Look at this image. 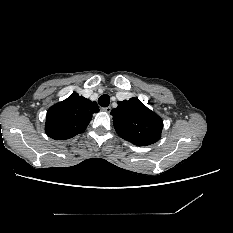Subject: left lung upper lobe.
I'll list each match as a JSON object with an SVG mask.
<instances>
[{
    "label": "left lung upper lobe",
    "mask_w": 233,
    "mask_h": 233,
    "mask_svg": "<svg viewBox=\"0 0 233 233\" xmlns=\"http://www.w3.org/2000/svg\"><path fill=\"white\" fill-rule=\"evenodd\" d=\"M111 115L117 134L136 146L151 145L161 137L162 119L137 98L119 101Z\"/></svg>",
    "instance_id": "1"
}]
</instances>
